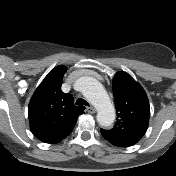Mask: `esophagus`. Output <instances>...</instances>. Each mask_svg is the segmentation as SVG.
Wrapping results in <instances>:
<instances>
[{"label": "esophagus", "mask_w": 176, "mask_h": 176, "mask_svg": "<svg viewBox=\"0 0 176 176\" xmlns=\"http://www.w3.org/2000/svg\"><path fill=\"white\" fill-rule=\"evenodd\" d=\"M88 113L94 114L96 112V109L94 107H88L87 108Z\"/></svg>", "instance_id": "1"}]
</instances>
